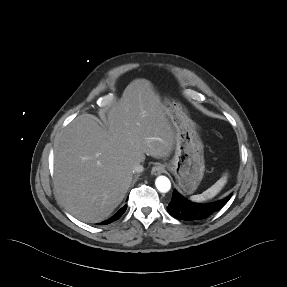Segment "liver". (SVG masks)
I'll return each instance as SVG.
<instances>
[{
  "label": "liver",
  "instance_id": "liver-1",
  "mask_svg": "<svg viewBox=\"0 0 287 287\" xmlns=\"http://www.w3.org/2000/svg\"><path fill=\"white\" fill-rule=\"evenodd\" d=\"M176 131L151 82L132 81L107 114L106 126L91 114L76 117L54 149V186L66 209L98 223L122 202L135 163L145 155L168 157Z\"/></svg>",
  "mask_w": 287,
  "mask_h": 287
}]
</instances>
